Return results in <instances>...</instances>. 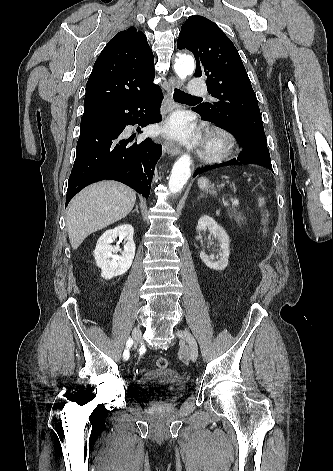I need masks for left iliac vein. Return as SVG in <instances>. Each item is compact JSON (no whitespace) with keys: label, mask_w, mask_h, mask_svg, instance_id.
<instances>
[{"label":"left iliac vein","mask_w":333,"mask_h":471,"mask_svg":"<svg viewBox=\"0 0 333 471\" xmlns=\"http://www.w3.org/2000/svg\"><path fill=\"white\" fill-rule=\"evenodd\" d=\"M177 336L187 343L188 347L186 351L191 360L196 361L198 357V345L193 335L187 330H178Z\"/></svg>","instance_id":"1"}]
</instances>
